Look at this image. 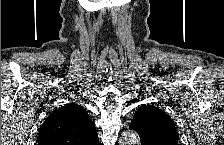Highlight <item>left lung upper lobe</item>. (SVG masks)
I'll use <instances>...</instances> for the list:
<instances>
[{"mask_svg": "<svg viewBox=\"0 0 224 145\" xmlns=\"http://www.w3.org/2000/svg\"><path fill=\"white\" fill-rule=\"evenodd\" d=\"M130 124L154 145H178V134L173 120L154 105H142Z\"/></svg>", "mask_w": 224, "mask_h": 145, "instance_id": "1", "label": "left lung upper lobe"}]
</instances>
